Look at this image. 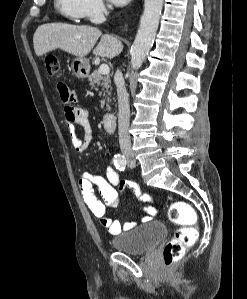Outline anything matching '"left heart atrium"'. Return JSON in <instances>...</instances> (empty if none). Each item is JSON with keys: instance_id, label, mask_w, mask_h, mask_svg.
Listing matches in <instances>:
<instances>
[{"instance_id": "left-heart-atrium-1", "label": "left heart atrium", "mask_w": 247, "mask_h": 299, "mask_svg": "<svg viewBox=\"0 0 247 299\" xmlns=\"http://www.w3.org/2000/svg\"><path fill=\"white\" fill-rule=\"evenodd\" d=\"M130 0H110L111 3L117 6H123L127 4Z\"/></svg>"}]
</instances>
